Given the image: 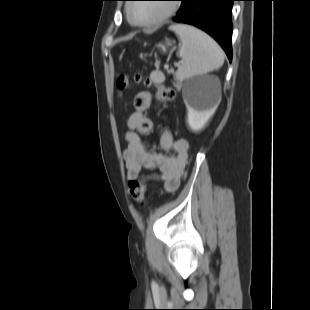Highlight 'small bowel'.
Segmentation results:
<instances>
[{"label": "small bowel", "instance_id": "obj_1", "mask_svg": "<svg viewBox=\"0 0 310 310\" xmlns=\"http://www.w3.org/2000/svg\"><path fill=\"white\" fill-rule=\"evenodd\" d=\"M152 103V93L140 91L134 98V111L129 115L125 133L127 147L123 152L126 177L132 180L157 181L164 184L167 193L174 192L185 175L188 158V141L175 140L169 130H165L160 139L159 147L167 153L151 152L145 145L142 135L149 134L153 129V121L147 116ZM152 173L142 174V170Z\"/></svg>", "mask_w": 310, "mask_h": 310}]
</instances>
